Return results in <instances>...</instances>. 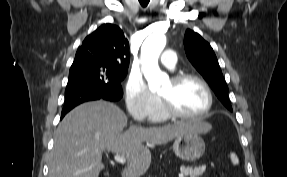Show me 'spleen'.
I'll return each instance as SVG.
<instances>
[{
  "label": "spleen",
  "instance_id": "spleen-1",
  "mask_svg": "<svg viewBox=\"0 0 287 177\" xmlns=\"http://www.w3.org/2000/svg\"><path fill=\"white\" fill-rule=\"evenodd\" d=\"M230 159L234 165L239 164V159L235 153H230Z\"/></svg>",
  "mask_w": 287,
  "mask_h": 177
}]
</instances>
